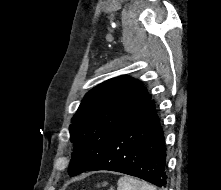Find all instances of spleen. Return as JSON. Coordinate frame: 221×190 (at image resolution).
I'll use <instances>...</instances> for the list:
<instances>
[{"label":"spleen","mask_w":221,"mask_h":190,"mask_svg":"<svg viewBox=\"0 0 221 190\" xmlns=\"http://www.w3.org/2000/svg\"><path fill=\"white\" fill-rule=\"evenodd\" d=\"M117 190H156V188L147 182L124 176L118 180Z\"/></svg>","instance_id":"3e777b00"}]
</instances>
